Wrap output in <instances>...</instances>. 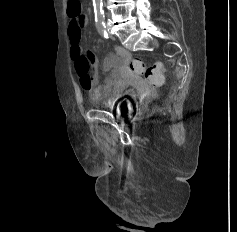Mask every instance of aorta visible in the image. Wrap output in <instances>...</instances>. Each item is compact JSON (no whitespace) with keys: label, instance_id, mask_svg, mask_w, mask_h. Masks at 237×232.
Here are the masks:
<instances>
[{"label":"aorta","instance_id":"obj_1","mask_svg":"<svg viewBox=\"0 0 237 232\" xmlns=\"http://www.w3.org/2000/svg\"><path fill=\"white\" fill-rule=\"evenodd\" d=\"M95 21L97 23H102L104 21L105 15L103 11V0H93Z\"/></svg>","mask_w":237,"mask_h":232}]
</instances>
